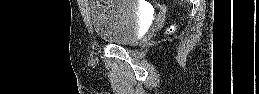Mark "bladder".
Here are the masks:
<instances>
[{
	"mask_svg": "<svg viewBox=\"0 0 259 94\" xmlns=\"http://www.w3.org/2000/svg\"><path fill=\"white\" fill-rule=\"evenodd\" d=\"M91 21L95 34L112 44H134L142 35L143 13L134 1H92Z\"/></svg>",
	"mask_w": 259,
	"mask_h": 94,
	"instance_id": "obj_1",
	"label": "bladder"
}]
</instances>
